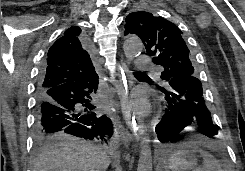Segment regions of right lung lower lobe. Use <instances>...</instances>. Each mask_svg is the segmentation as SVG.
<instances>
[{
	"label": "right lung lower lobe",
	"instance_id": "1",
	"mask_svg": "<svg viewBox=\"0 0 245 171\" xmlns=\"http://www.w3.org/2000/svg\"><path fill=\"white\" fill-rule=\"evenodd\" d=\"M85 41V40H84ZM86 47L90 46L85 41ZM98 76L37 90L36 138L65 132L77 137L107 142L112 134L110 119L96 104Z\"/></svg>",
	"mask_w": 245,
	"mask_h": 171
}]
</instances>
